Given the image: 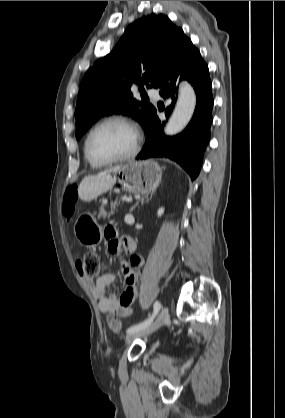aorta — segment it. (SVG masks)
<instances>
[{
  "mask_svg": "<svg viewBox=\"0 0 285 418\" xmlns=\"http://www.w3.org/2000/svg\"><path fill=\"white\" fill-rule=\"evenodd\" d=\"M196 106V94L193 87L182 81L175 109L166 124L165 134L172 136L182 131L190 122Z\"/></svg>",
  "mask_w": 285,
  "mask_h": 418,
  "instance_id": "762f6f07",
  "label": "aorta"
}]
</instances>
